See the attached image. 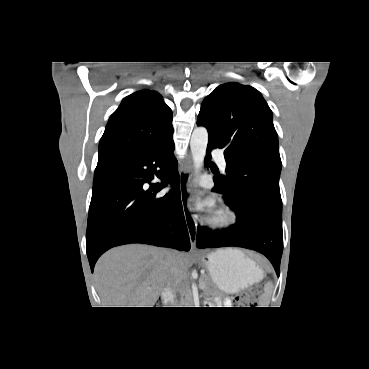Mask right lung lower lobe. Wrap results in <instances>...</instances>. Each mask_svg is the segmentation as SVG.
Listing matches in <instances>:
<instances>
[{"label":"right lung lower lobe","mask_w":369,"mask_h":369,"mask_svg":"<svg viewBox=\"0 0 369 369\" xmlns=\"http://www.w3.org/2000/svg\"><path fill=\"white\" fill-rule=\"evenodd\" d=\"M172 137L149 149L125 155L95 172L89 207L86 249L91 271L108 249L144 243L190 249L180 198ZM162 180L148 190L144 184ZM172 184L165 195L158 192Z\"/></svg>","instance_id":"98d812e1"}]
</instances>
